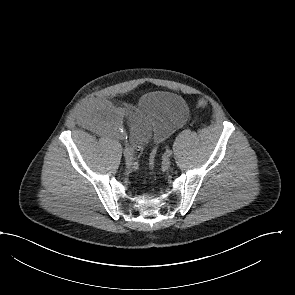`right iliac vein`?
Instances as JSON below:
<instances>
[{"instance_id": "obj_1", "label": "right iliac vein", "mask_w": 295, "mask_h": 295, "mask_svg": "<svg viewBox=\"0 0 295 295\" xmlns=\"http://www.w3.org/2000/svg\"><path fill=\"white\" fill-rule=\"evenodd\" d=\"M124 157L127 164H131L133 162V156L131 153L124 151Z\"/></svg>"}]
</instances>
